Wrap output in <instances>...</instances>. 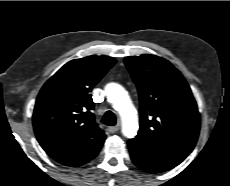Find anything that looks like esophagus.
Masks as SVG:
<instances>
[{"label":"esophagus","instance_id":"34e87169","mask_svg":"<svg viewBox=\"0 0 230 186\" xmlns=\"http://www.w3.org/2000/svg\"><path fill=\"white\" fill-rule=\"evenodd\" d=\"M119 124L118 125H116V126H113V127H109L108 128V131L110 132V133H116L118 130H119Z\"/></svg>","mask_w":230,"mask_h":186}]
</instances>
